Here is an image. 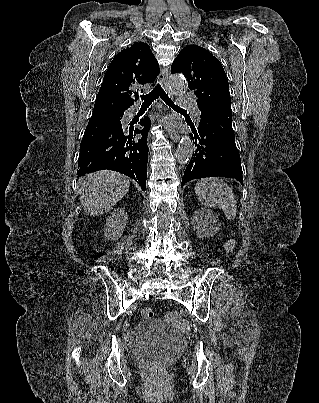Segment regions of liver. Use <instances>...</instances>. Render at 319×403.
Wrapping results in <instances>:
<instances>
[{
    "mask_svg": "<svg viewBox=\"0 0 319 403\" xmlns=\"http://www.w3.org/2000/svg\"><path fill=\"white\" fill-rule=\"evenodd\" d=\"M80 201L87 215L110 211L128 192L130 180L110 170L88 174L80 181Z\"/></svg>",
    "mask_w": 319,
    "mask_h": 403,
    "instance_id": "6515ba94",
    "label": "liver"
}]
</instances>
